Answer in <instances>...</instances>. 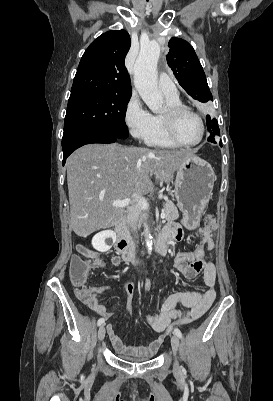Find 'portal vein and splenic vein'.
I'll return each instance as SVG.
<instances>
[{
  "label": "portal vein and splenic vein",
  "instance_id": "obj_1",
  "mask_svg": "<svg viewBox=\"0 0 273 401\" xmlns=\"http://www.w3.org/2000/svg\"><path fill=\"white\" fill-rule=\"evenodd\" d=\"M129 203H131V198H123V201H114V203H112V207H128ZM161 219H165L166 215L164 213V209H161Z\"/></svg>",
  "mask_w": 273,
  "mask_h": 401
}]
</instances>
